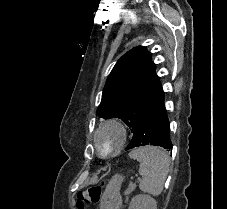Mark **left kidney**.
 Instances as JSON below:
<instances>
[{"label": "left kidney", "instance_id": "5707ae66", "mask_svg": "<svg viewBox=\"0 0 227 209\" xmlns=\"http://www.w3.org/2000/svg\"><path fill=\"white\" fill-rule=\"evenodd\" d=\"M128 209H157V203L149 195H136V197H133Z\"/></svg>", "mask_w": 227, "mask_h": 209}]
</instances>
